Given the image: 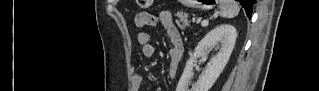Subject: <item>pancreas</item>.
Returning <instances> with one entry per match:
<instances>
[{"instance_id": "pancreas-1", "label": "pancreas", "mask_w": 319, "mask_h": 91, "mask_svg": "<svg viewBox=\"0 0 319 91\" xmlns=\"http://www.w3.org/2000/svg\"><path fill=\"white\" fill-rule=\"evenodd\" d=\"M176 17L178 18L176 20V24L178 25V27L181 29V30H184L186 27H189L190 24H189V21H188V15L183 13V12H178L176 14Z\"/></svg>"}]
</instances>
